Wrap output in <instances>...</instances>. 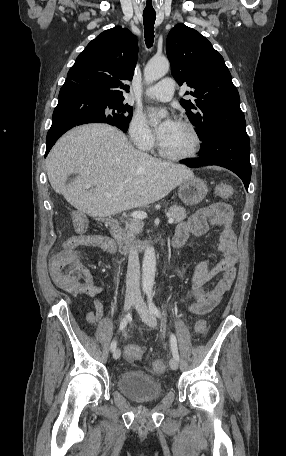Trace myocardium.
<instances>
[{"instance_id":"1","label":"myocardium","mask_w":286,"mask_h":456,"mask_svg":"<svg viewBox=\"0 0 286 456\" xmlns=\"http://www.w3.org/2000/svg\"><path fill=\"white\" fill-rule=\"evenodd\" d=\"M177 123L182 125L183 127L187 128L193 135L194 140H195V146H194L193 150L190 153L185 154V155H175V154L167 152L164 149L160 139H158V141H157L158 153L162 157L169 159V160H174V161H184V160H189V159H193V158L197 157L203 147V139H202V136H201L199 130L197 129V127L194 124H192L189 121L179 120V121H177Z\"/></svg>"}]
</instances>
